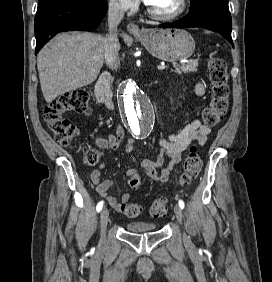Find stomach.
I'll return each mask as SVG.
<instances>
[{
	"label": "stomach",
	"instance_id": "0dacf381",
	"mask_svg": "<svg viewBox=\"0 0 272 282\" xmlns=\"http://www.w3.org/2000/svg\"><path fill=\"white\" fill-rule=\"evenodd\" d=\"M135 37L150 54L168 62L187 59L195 50L193 37L182 29H145Z\"/></svg>",
	"mask_w": 272,
	"mask_h": 282
}]
</instances>
